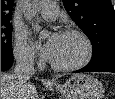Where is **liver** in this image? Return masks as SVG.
I'll list each match as a JSON object with an SVG mask.
<instances>
[{
  "label": "liver",
  "mask_w": 115,
  "mask_h": 99,
  "mask_svg": "<svg viewBox=\"0 0 115 99\" xmlns=\"http://www.w3.org/2000/svg\"><path fill=\"white\" fill-rule=\"evenodd\" d=\"M1 99H38V93L33 84L19 88L14 74L1 72Z\"/></svg>",
  "instance_id": "obj_1"
}]
</instances>
